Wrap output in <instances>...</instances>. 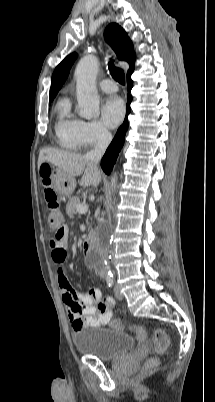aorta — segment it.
<instances>
[{"instance_id": "1", "label": "aorta", "mask_w": 215, "mask_h": 402, "mask_svg": "<svg viewBox=\"0 0 215 402\" xmlns=\"http://www.w3.org/2000/svg\"><path fill=\"white\" fill-rule=\"evenodd\" d=\"M98 73V60L93 55L83 57L75 69L76 94L78 101L79 116L92 119L99 116V95L96 87ZM117 174L111 176V188L115 191ZM111 258L108 232L103 228L97 236V245L92 255L93 261H101L105 265L106 276H112L109 261Z\"/></svg>"}]
</instances>
